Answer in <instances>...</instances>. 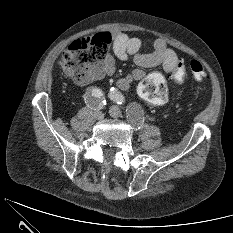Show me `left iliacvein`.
Segmentation results:
<instances>
[{
  "instance_id": "4c4485c4",
  "label": "left iliac vein",
  "mask_w": 233,
  "mask_h": 233,
  "mask_svg": "<svg viewBox=\"0 0 233 233\" xmlns=\"http://www.w3.org/2000/svg\"><path fill=\"white\" fill-rule=\"evenodd\" d=\"M109 113L113 118H119L122 115L121 110L117 106H111ZM130 124L134 129L137 127V124L133 120H130Z\"/></svg>"
}]
</instances>
